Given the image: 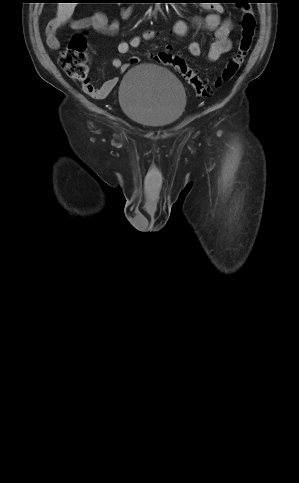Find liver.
Segmentation results:
<instances>
[{"label": "liver", "instance_id": "liver-1", "mask_svg": "<svg viewBox=\"0 0 299 483\" xmlns=\"http://www.w3.org/2000/svg\"><path fill=\"white\" fill-rule=\"evenodd\" d=\"M76 3H59L57 8V20L66 22L73 14Z\"/></svg>", "mask_w": 299, "mask_h": 483}]
</instances>
